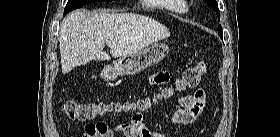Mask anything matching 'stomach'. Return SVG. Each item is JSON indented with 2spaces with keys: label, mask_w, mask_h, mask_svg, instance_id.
<instances>
[{
  "label": "stomach",
  "mask_w": 280,
  "mask_h": 137,
  "mask_svg": "<svg viewBox=\"0 0 280 137\" xmlns=\"http://www.w3.org/2000/svg\"><path fill=\"white\" fill-rule=\"evenodd\" d=\"M168 52L169 48L167 45L152 44L135 54L120 57V59L112 64L106 65L101 75L105 80H113L123 75H135L162 61Z\"/></svg>",
  "instance_id": "obj_1"
}]
</instances>
